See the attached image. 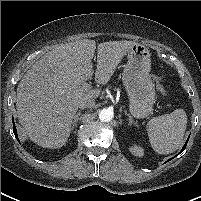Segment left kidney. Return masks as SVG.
<instances>
[{
	"label": "left kidney",
	"mask_w": 201,
	"mask_h": 201,
	"mask_svg": "<svg viewBox=\"0 0 201 201\" xmlns=\"http://www.w3.org/2000/svg\"><path fill=\"white\" fill-rule=\"evenodd\" d=\"M130 152L137 157H142L144 155V149L140 146L133 145L129 148Z\"/></svg>",
	"instance_id": "left-kidney-1"
}]
</instances>
